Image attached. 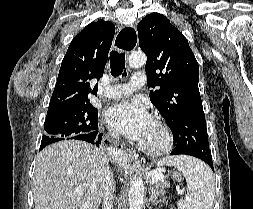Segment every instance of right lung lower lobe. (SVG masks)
Segmentation results:
<instances>
[{
  "label": "right lung lower lobe",
  "mask_w": 253,
  "mask_h": 209,
  "mask_svg": "<svg viewBox=\"0 0 253 209\" xmlns=\"http://www.w3.org/2000/svg\"><path fill=\"white\" fill-rule=\"evenodd\" d=\"M94 127H95V129L93 132H91L89 134L78 135L75 137V139L87 141V142H90L92 144H96L97 146H99L102 142V139H101L102 135L98 134V131H97L98 125L96 124ZM105 142H107V140Z\"/></svg>",
  "instance_id": "right-lung-lower-lobe-1"
}]
</instances>
